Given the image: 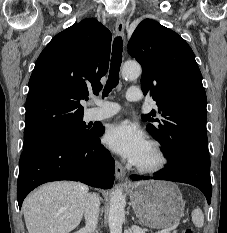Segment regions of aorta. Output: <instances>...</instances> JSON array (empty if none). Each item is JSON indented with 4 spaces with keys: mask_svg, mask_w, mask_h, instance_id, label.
Masks as SVG:
<instances>
[{
    "mask_svg": "<svg viewBox=\"0 0 227 233\" xmlns=\"http://www.w3.org/2000/svg\"><path fill=\"white\" fill-rule=\"evenodd\" d=\"M122 77L125 80H135L141 74V66L137 62H126L122 67ZM125 196L119 187H116L110 200L108 224L110 233H122V224L125 220Z\"/></svg>",
    "mask_w": 227,
    "mask_h": 233,
    "instance_id": "aorta-1",
    "label": "aorta"
}]
</instances>
